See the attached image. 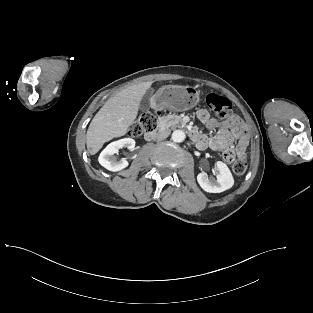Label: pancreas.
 <instances>
[{"mask_svg": "<svg viewBox=\"0 0 313 313\" xmlns=\"http://www.w3.org/2000/svg\"><path fill=\"white\" fill-rule=\"evenodd\" d=\"M159 125L163 127H175L184 126V123L180 116L174 114H168L159 118Z\"/></svg>", "mask_w": 313, "mask_h": 313, "instance_id": "1", "label": "pancreas"}]
</instances>
